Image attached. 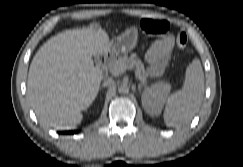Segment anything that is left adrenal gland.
Wrapping results in <instances>:
<instances>
[{
    "mask_svg": "<svg viewBox=\"0 0 243 167\" xmlns=\"http://www.w3.org/2000/svg\"><path fill=\"white\" fill-rule=\"evenodd\" d=\"M143 86H145V85L144 84H138V90H139V92H141Z\"/></svg>",
    "mask_w": 243,
    "mask_h": 167,
    "instance_id": "a2214340",
    "label": "left adrenal gland"
}]
</instances>
